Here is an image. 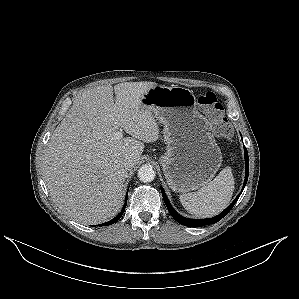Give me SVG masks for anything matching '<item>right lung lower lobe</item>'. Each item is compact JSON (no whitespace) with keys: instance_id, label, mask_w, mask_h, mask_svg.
Returning <instances> with one entry per match:
<instances>
[{"instance_id":"obj_1","label":"right lung lower lobe","mask_w":299,"mask_h":299,"mask_svg":"<svg viewBox=\"0 0 299 299\" xmlns=\"http://www.w3.org/2000/svg\"><path fill=\"white\" fill-rule=\"evenodd\" d=\"M126 204H127V197H126V203H125L124 208L122 209V211L116 217H114L112 220H110V221H108L106 223L100 224L99 226L111 225V224L117 222L121 218V216L123 215V212L125 210Z\"/></svg>"}]
</instances>
